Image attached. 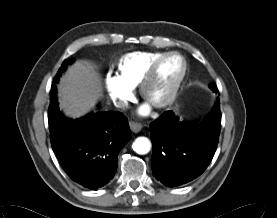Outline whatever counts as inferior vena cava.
Segmentation results:
<instances>
[{"label": "inferior vena cava", "mask_w": 277, "mask_h": 218, "mask_svg": "<svg viewBox=\"0 0 277 218\" xmlns=\"http://www.w3.org/2000/svg\"><path fill=\"white\" fill-rule=\"evenodd\" d=\"M114 105H115V107L120 108L122 110H125L126 108H128V102L125 100L124 101L116 100V101H114Z\"/></svg>", "instance_id": "1"}]
</instances>
